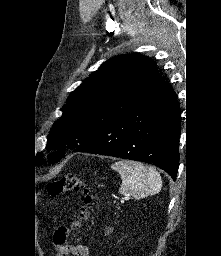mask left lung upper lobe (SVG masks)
<instances>
[{
	"instance_id": "obj_1",
	"label": "left lung upper lobe",
	"mask_w": 221,
	"mask_h": 256,
	"mask_svg": "<svg viewBox=\"0 0 221 256\" xmlns=\"http://www.w3.org/2000/svg\"><path fill=\"white\" fill-rule=\"evenodd\" d=\"M164 84L156 64L139 54L120 55L104 62L74 92L63 107V115L51 128L48 155L58 162L65 148L75 150L98 133L107 123L136 108ZM38 165L45 163L38 155Z\"/></svg>"
}]
</instances>
